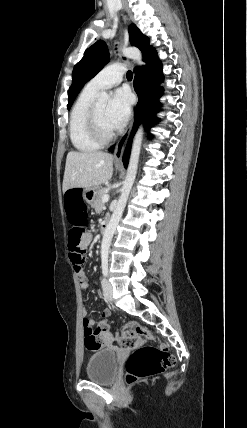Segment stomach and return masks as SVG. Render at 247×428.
Instances as JSON below:
<instances>
[{
    "label": "stomach",
    "instance_id": "stomach-1",
    "mask_svg": "<svg viewBox=\"0 0 247 428\" xmlns=\"http://www.w3.org/2000/svg\"><path fill=\"white\" fill-rule=\"evenodd\" d=\"M97 192H98L97 187L86 188L83 190V199L88 204L92 205L96 199Z\"/></svg>",
    "mask_w": 247,
    "mask_h": 428
}]
</instances>
